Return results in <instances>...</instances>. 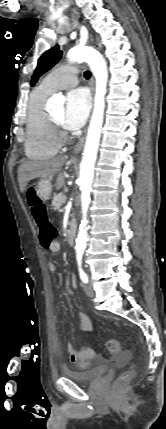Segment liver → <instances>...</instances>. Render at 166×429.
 Instances as JSON below:
<instances>
[{
	"label": "liver",
	"instance_id": "obj_1",
	"mask_svg": "<svg viewBox=\"0 0 166 429\" xmlns=\"http://www.w3.org/2000/svg\"><path fill=\"white\" fill-rule=\"evenodd\" d=\"M66 159L67 156H59L46 161L29 160L23 162L18 168L20 191L24 192L28 182L33 179L51 178L55 174H58L56 188L60 189L64 184V176L61 173V169Z\"/></svg>",
	"mask_w": 166,
	"mask_h": 429
}]
</instances>
